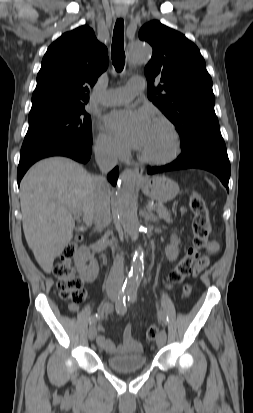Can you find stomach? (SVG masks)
<instances>
[{
    "mask_svg": "<svg viewBox=\"0 0 253 413\" xmlns=\"http://www.w3.org/2000/svg\"><path fill=\"white\" fill-rule=\"evenodd\" d=\"M142 192L152 200L160 203L170 201L179 192V185L166 176H154L140 182Z\"/></svg>",
    "mask_w": 253,
    "mask_h": 413,
    "instance_id": "stomach-1",
    "label": "stomach"
}]
</instances>
